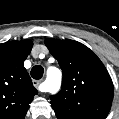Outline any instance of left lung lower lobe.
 I'll list each match as a JSON object with an SVG mask.
<instances>
[{
    "instance_id": "0a47b994",
    "label": "left lung lower lobe",
    "mask_w": 119,
    "mask_h": 119,
    "mask_svg": "<svg viewBox=\"0 0 119 119\" xmlns=\"http://www.w3.org/2000/svg\"><path fill=\"white\" fill-rule=\"evenodd\" d=\"M58 119H80L74 116H57Z\"/></svg>"
}]
</instances>
